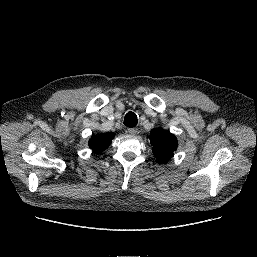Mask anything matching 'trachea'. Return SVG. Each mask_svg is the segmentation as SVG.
Listing matches in <instances>:
<instances>
[{"label": "trachea", "mask_w": 257, "mask_h": 257, "mask_svg": "<svg viewBox=\"0 0 257 257\" xmlns=\"http://www.w3.org/2000/svg\"><path fill=\"white\" fill-rule=\"evenodd\" d=\"M138 123L137 116L134 112H128L124 118V125L127 127H135Z\"/></svg>", "instance_id": "trachea-1"}]
</instances>
